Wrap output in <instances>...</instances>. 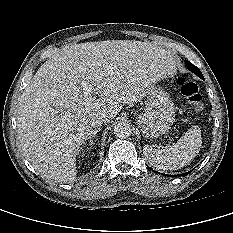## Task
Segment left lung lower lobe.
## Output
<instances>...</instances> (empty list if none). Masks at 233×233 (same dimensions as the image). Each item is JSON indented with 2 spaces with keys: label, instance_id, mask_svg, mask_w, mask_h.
Wrapping results in <instances>:
<instances>
[{
  "label": "left lung lower lobe",
  "instance_id": "obj_1",
  "mask_svg": "<svg viewBox=\"0 0 233 233\" xmlns=\"http://www.w3.org/2000/svg\"><path fill=\"white\" fill-rule=\"evenodd\" d=\"M202 79H204V78H202ZM190 172H191V171H189V172H187V173H183L182 175L185 176V175L189 174Z\"/></svg>",
  "mask_w": 233,
  "mask_h": 233
}]
</instances>
